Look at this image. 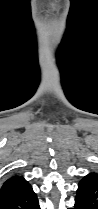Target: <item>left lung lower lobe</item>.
Segmentation results:
<instances>
[{
	"label": "left lung lower lobe",
	"instance_id": "1",
	"mask_svg": "<svg viewBox=\"0 0 98 209\" xmlns=\"http://www.w3.org/2000/svg\"><path fill=\"white\" fill-rule=\"evenodd\" d=\"M72 209H98V177L85 176L79 182Z\"/></svg>",
	"mask_w": 98,
	"mask_h": 209
}]
</instances>
